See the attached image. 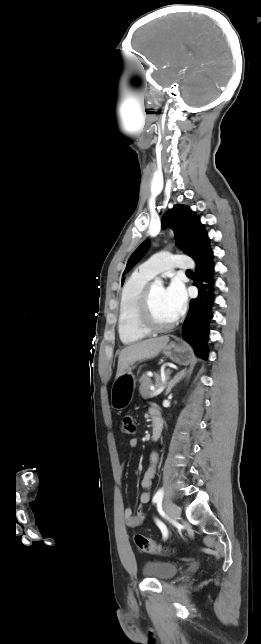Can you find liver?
Masks as SVG:
<instances>
[{
    "mask_svg": "<svg viewBox=\"0 0 261 644\" xmlns=\"http://www.w3.org/2000/svg\"><path fill=\"white\" fill-rule=\"evenodd\" d=\"M169 336H161L131 344L119 354L116 378L121 376L136 361L151 359L168 344Z\"/></svg>",
    "mask_w": 261,
    "mask_h": 644,
    "instance_id": "1",
    "label": "liver"
}]
</instances>
